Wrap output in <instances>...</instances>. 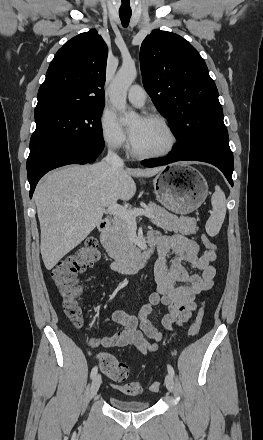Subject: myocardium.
Returning a JSON list of instances; mask_svg holds the SVG:
<instances>
[{"instance_id": "myocardium-1", "label": "myocardium", "mask_w": 263, "mask_h": 440, "mask_svg": "<svg viewBox=\"0 0 263 440\" xmlns=\"http://www.w3.org/2000/svg\"><path fill=\"white\" fill-rule=\"evenodd\" d=\"M143 119L148 121H154L162 125L169 135V139H170L169 143L167 147L164 148L163 150L155 151V152H142L139 151L134 146L133 141L131 140V148H130L131 154L137 158H142V159L161 158L171 154L175 150L178 144V136L171 123L165 117L158 114H148L144 116Z\"/></svg>"}]
</instances>
